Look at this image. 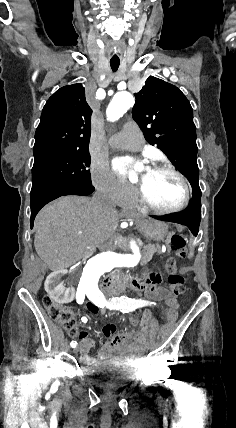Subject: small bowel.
Here are the masks:
<instances>
[{
  "label": "small bowel",
  "mask_w": 236,
  "mask_h": 428,
  "mask_svg": "<svg viewBox=\"0 0 236 428\" xmlns=\"http://www.w3.org/2000/svg\"><path fill=\"white\" fill-rule=\"evenodd\" d=\"M160 277L152 274L146 280L136 281L133 288L136 291L144 292L148 305L155 306L157 302L164 300L169 306H176V298L165 288L159 286ZM98 310V308H97ZM105 314L106 309H99ZM84 320V319H83ZM150 320V313H146L142 328L133 333L130 331L118 332L112 324L104 326L102 333L109 340L101 347L97 357L91 356L90 351L94 341L85 331L78 332V338L81 344V361L87 366H97L102 360L120 359L137 360L144 350L147 325Z\"/></svg>",
  "instance_id": "1"
}]
</instances>
